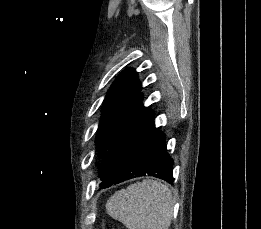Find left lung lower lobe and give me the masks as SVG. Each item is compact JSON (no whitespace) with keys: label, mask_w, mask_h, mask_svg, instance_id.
<instances>
[{"label":"left lung lower lobe","mask_w":261,"mask_h":229,"mask_svg":"<svg viewBox=\"0 0 261 229\" xmlns=\"http://www.w3.org/2000/svg\"><path fill=\"white\" fill-rule=\"evenodd\" d=\"M154 113L145 108L108 149L100 164L101 188L151 175L173 183L174 161L166 151L165 134L154 126Z\"/></svg>","instance_id":"1"}]
</instances>
